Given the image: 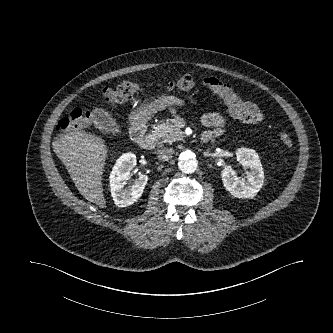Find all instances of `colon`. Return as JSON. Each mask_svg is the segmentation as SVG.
Listing matches in <instances>:
<instances>
[{
	"mask_svg": "<svg viewBox=\"0 0 333 333\" xmlns=\"http://www.w3.org/2000/svg\"><path fill=\"white\" fill-rule=\"evenodd\" d=\"M195 87V81L191 76H183L176 81L164 84L169 91H189ZM140 90L138 82L133 80L124 81L118 86L105 87L100 90L105 102L120 103L132 99ZM91 124V110L74 109L67 117L62 118L56 127V137L61 138L69 135L74 129L83 128ZM280 143L288 150L293 149V140L287 133L279 135Z\"/></svg>",
	"mask_w": 333,
	"mask_h": 333,
	"instance_id": "1",
	"label": "colon"
}]
</instances>
